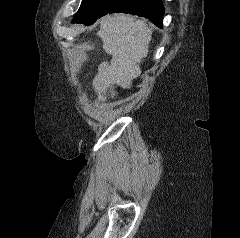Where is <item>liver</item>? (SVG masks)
<instances>
[{
    "label": "liver",
    "instance_id": "obj_1",
    "mask_svg": "<svg viewBox=\"0 0 240 238\" xmlns=\"http://www.w3.org/2000/svg\"><path fill=\"white\" fill-rule=\"evenodd\" d=\"M97 34L106 53L112 55L110 64L99 65L92 83L98 99L105 101L108 92L115 96L114 85L130 89L140 75L138 63L147 56L152 32L144 20L119 14L102 17Z\"/></svg>",
    "mask_w": 240,
    "mask_h": 238
}]
</instances>
